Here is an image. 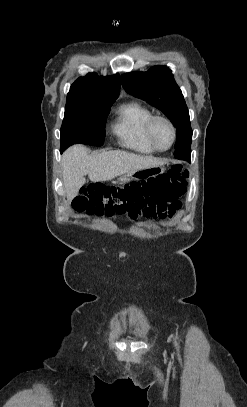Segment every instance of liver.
Instances as JSON below:
<instances>
[{"label": "liver", "mask_w": 247, "mask_h": 407, "mask_svg": "<svg viewBox=\"0 0 247 407\" xmlns=\"http://www.w3.org/2000/svg\"><path fill=\"white\" fill-rule=\"evenodd\" d=\"M166 160L141 156L125 151H103L89 154L82 145L70 147L62 157V175L66 196L70 202L85 184L88 174L92 182L108 181L117 176L151 167L161 166Z\"/></svg>", "instance_id": "6515ba94"}]
</instances>
